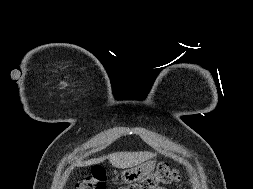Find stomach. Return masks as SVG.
<instances>
[{
    "mask_svg": "<svg viewBox=\"0 0 253 189\" xmlns=\"http://www.w3.org/2000/svg\"><path fill=\"white\" fill-rule=\"evenodd\" d=\"M155 168L153 161H147L134 168L126 169L121 173V178L125 183H133L139 181L149 174Z\"/></svg>",
    "mask_w": 253,
    "mask_h": 189,
    "instance_id": "0dacf381",
    "label": "stomach"
}]
</instances>
